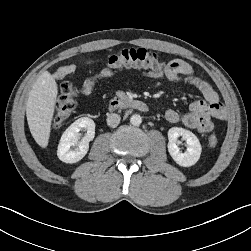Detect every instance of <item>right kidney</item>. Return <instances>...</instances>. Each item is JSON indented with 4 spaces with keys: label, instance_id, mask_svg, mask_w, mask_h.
Masks as SVG:
<instances>
[{
    "label": "right kidney",
    "instance_id": "right-kidney-1",
    "mask_svg": "<svg viewBox=\"0 0 251 251\" xmlns=\"http://www.w3.org/2000/svg\"><path fill=\"white\" fill-rule=\"evenodd\" d=\"M85 130V136L80 139V131ZM95 136V123L88 117H82L72 123L62 134L57 156L65 163H76L80 161L88 152L89 142ZM76 147V149H71Z\"/></svg>",
    "mask_w": 251,
    "mask_h": 251
}]
</instances>
